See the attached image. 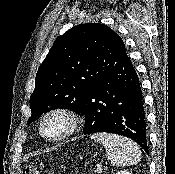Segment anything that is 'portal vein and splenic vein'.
<instances>
[{
  "instance_id": "18ae733b",
  "label": "portal vein and splenic vein",
  "mask_w": 175,
  "mask_h": 174,
  "mask_svg": "<svg viewBox=\"0 0 175 174\" xmlns=\"http://www.w3.org/2000/svg\"><path fill=\"white\" fill-rule=\"evenodd\" d=\"M96 172H97L98 174L102 173V168H101V166H98V167H97Z\"/></svg>"
}]
</instances>
